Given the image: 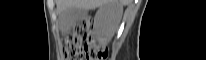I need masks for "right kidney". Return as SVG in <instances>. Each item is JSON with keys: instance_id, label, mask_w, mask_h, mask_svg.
<instances>
[{"instance_id": "right-kidney-1", "label": "right kidney", "mask_w": 206, "mask_h": 60, "mask_svg": "<svg viewBox=\"0 0 206 60\" xmlns=\"http://www.w3.org/2000/svg\"><path fill=\"white\" fill-rule=\"evenodd\" d=\"M122 16V6L113 2L101 7L96 14L99 40L108 42L116 30Z\"/></svg>"}]
</instances>
